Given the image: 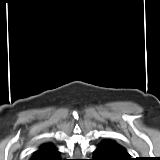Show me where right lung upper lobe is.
Listing matches in <instances>:
<instances>
[{
    "instance_id": "obj_1",
    "label": "right lung upper lobe",
    "mask_w": 160,
    "mask_h": 160,
    "mask_svg": "<svg viewBox=\"0 0 160 160\" xmlns=\"http://www.w3.org/2000/svg\"><path fill=\"white\" fill-rule=\"evenodd\" d=\"M51 147H53V145L50 144V143L42 144V145L39 147V149L36 150V151L33 153V156H34V155H37V154H39V153H41V152H44V151L50 149Z\"/></svg>"
}]
</instances>
